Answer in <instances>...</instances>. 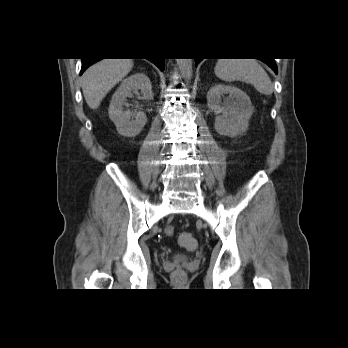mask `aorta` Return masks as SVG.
Segmentation results:
<instances>
[{
	"label": "aorta",
	"instance_id": "obj_1",
	"mask_svg": "<svg viewBox=\"0 0 348 348\" xmlns=\"http://www.w3.org/2000/svg\"><path fill=\"white\" fill-rule=\"evenodd\" d=\"M177 65L182 71L185 79H191L192 77V59H176Z\"/></svg>",
	"mask_w": 348,
	"mask_h": 348
}]
</instances>
